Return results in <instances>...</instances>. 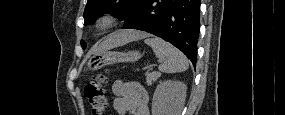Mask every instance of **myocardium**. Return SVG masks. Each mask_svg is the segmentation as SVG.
Returning <instances> with one entry per match:
<instances>
[{
    "label": "myocardium",
    "mask_w": 285,
    "mask_h": 115,
    "mask_svg": "<svg viewBox=\"0 0 285 115\" xmlns=\"http://www.w3.org/2000/svg\"><path fill=\"white\" fill-rule=\"evenodd\" d=\"M117 23V17L112 12H102L95 23V26L100 31H108Z\"/></svg>",
    "instance_id": "1"
}]
</instances>
